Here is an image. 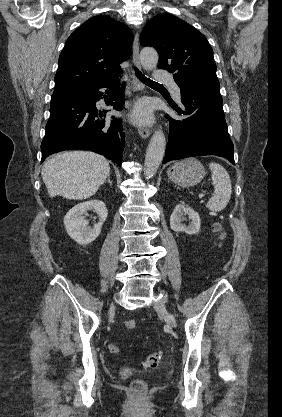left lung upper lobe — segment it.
Wrapping results in <instances>:
<instances>
[{
    "mask_svg": "<svg viewBox=\"0 0 282 417\" xmlns=\"http://www.w3.org/2000/svg\"><path fill=\"white\" fill-rule=\"evenodd\" d=\"M140 43L158 51V68L174 73L178 86L197 79L219 83L211 46L202 33L185 21L168 13L159 14L147 22Z\"/></svg>",
    "mask_w": 282,
    "mask_h": 417,
    "instance_id": "1",
    "label": "left lung upper lobe"
}]
</instances>
